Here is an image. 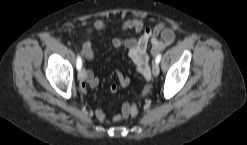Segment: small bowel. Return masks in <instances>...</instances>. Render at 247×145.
<instances>
[{"instance_id":"1","label":"small bowel","mask_w":247,"mask_h":145,"mask_svg":"<svg viewBox=\"0 0 247 145\" xmlns=\"http://www.w3.org/2000/svg\"><path fill=\"white\" fill-rule=\"evenodd\" d=\"M93 28L96 31H104L107 28V24L102 19H97L93 23ZM122 32L134 31L136 34H140L138 38L129 37L123 39L120 36L114 37L112 45L115 48L125 47L128 51V56L132 61L136 71L146 80L151 79V70L149 63L148 47H151L153 55L161 52L165 47L170 45L175 40L174 28L168 26L165 21L158 22L153 28H146L143 22L137 18H129L125 20L121 25ZM82 56L84 60L91 61L95 57V53L90 40L85 41L82 50ZM119 84L122 87L129 85V78L121 72H116ZM99 84L98 77L91 70L86 71V78L80 85L81 92L85 93L87 86L96 87ZM118 87L112 85L110 92L114 95L117 93ZM150 86L146 85L142 90V96H146L149 93ZM129 107L128 103H124L121 113L113 116H108L104 109L98 108L95 111L97 119L105 123H114L122 118H125V111Z\"/></svg>"}]
</instances>
